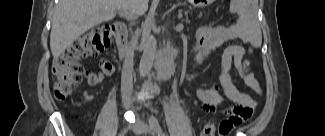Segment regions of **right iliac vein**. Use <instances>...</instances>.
<instances>
[{
	"mask_svg": "<svg viewBox=\"0 0 325 136\" xmlns=\"http://www.w3.org/2000/svg\"><path fill=\"white\" fill-rule=\"evenodd\" d=\"M131 125H124L119 133V135H124L129 129H131Z\"/></svg>",
	"mask_w": 325,
	"mask_h": 136,
	"instance_id": "1",
	"label": "right iliac vein"
}]
</instances>
